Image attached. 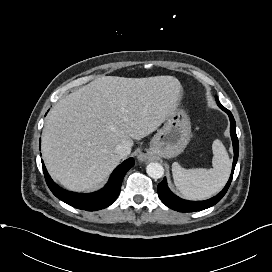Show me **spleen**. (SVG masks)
Masks as SVG:
<instances>
[{"mask_svg": "<svg viewBox=\"0 0 272 272\" xmlns=\"http://www.w3.org/2000/svg\"><path fill=\"white\" fill-rule=\"evenodd\" d=\"M213 159L211 169H184L177 162L172 164L175 186L188 199L203 200L218 193L226 184L231 160L219 139L212 144Z\"/></svg>", "mask_w": 272, "mask_h": 272, "instance_id": "obj_1", "label": "spleen"}]
</instances>
